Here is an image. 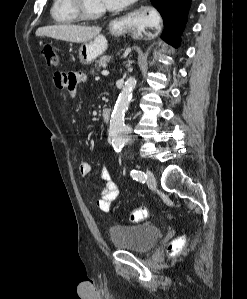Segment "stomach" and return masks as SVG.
Masks as SVG:
<instances>
[{
    "label": "stomach",
    "mask_w": 247,
    "mask_h": 299,
    "mask_svg": "<svg viewBox=\"0 0 247 299\" xmlns=\"http://www.w3.org/2000/svg\"><path fill=\"white\" fill-rule=\"evenodd\" d=\"M125 21H116L110 25V32L114 36L123 34L126 31ZM107 49V40L104 36H97L94 39L83 43L79 48V60L83 65L93 63Z\"/></svg>",
    "instance_id": "obj_1"
}]
</instances>
